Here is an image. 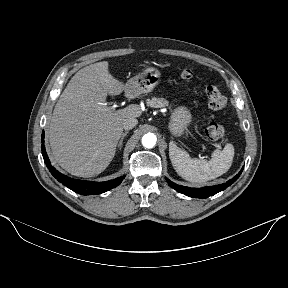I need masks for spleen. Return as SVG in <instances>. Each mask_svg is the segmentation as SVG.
<instances>
[{
  "mask_svg": "<svg viewBox=\"0 0 288 288\" xmlns=\"http://www.w3.org/2000/svg\"><path fill=\"white\" fill-rule=\"evenodd\" d=\"M169 157L179 176L190 182L203 183L223 175L230 169L234 147L231 143H227L223 150L216 149L212 153V159L207 161L191 159L185 151L171 141Z\"/></svg>",
  "mask_w": 288,
  "mask_h": 288,
  "instance_id": "obj_1",
  "label": "spleen"
}]
</instances>
